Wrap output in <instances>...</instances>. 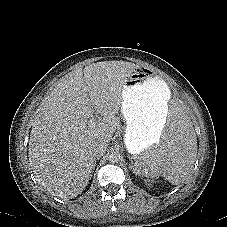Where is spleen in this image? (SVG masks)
I'll return each instance as SVG.
<instances>
[{"instance_id":"obj_1","label":"spleen","mask_w":227,"mask_h":227,"mask_svg":"<svg viewBox=\"0 0 227 227\" xmlns=\"http://www.w3.org/2000/svg\"><path fill=\"white\" fill-rule=\"evenodd\" d=\"M189 119L186 107L177 106L172 110L169 134L157 152L147 150L137 157L135 167L139 175L147 179L162 175L173 185L185 181L197 156V139Z\"/></svg>"}]
</instances>
